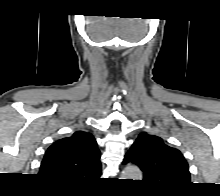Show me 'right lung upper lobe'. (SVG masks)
Returning <instances> with one entry per match:
<instances>
[{"label":"right lung upper lobe","mask_w":220,"mask_h":196,"mask_svg":"<svg viewBox=\"0 0 220 196\" xmlns=\"http://www.w3.org/2000/svg\"><path fill=\"white\" fill-rule=\"evenodd\" d=\"M94 137L77 131L54 142L45 153L39 174L51 183L79 186L98 179L102 168Z\"/></svg>","instance_id":"right-lung-upper-lobe-1"}]
</instances>
